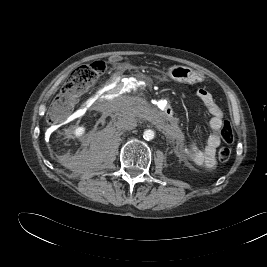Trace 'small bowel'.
Returning <instances> with one entry per match:
<instances>
[{"label":"small bowel","instance_id":"small-bowel-1","mask_svg":"<svg viewBox=\"0 0 267 267\" xmlns=\"http://www.w3.org/2000/svg\"><path fill=\"white\" fill-rule=\"evenodd\" d=\"M196 98L211 116L209 126L212 133L203 149H200L195 142H191L182 150V156L195 167L212 169L215 166L216 150L221 144L218 131L223 124V111L215 102L212 94L205 88L197 89Z\"/></svg>","mask_w":267,"mask_h":267}]
</instances>
